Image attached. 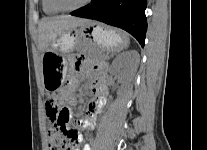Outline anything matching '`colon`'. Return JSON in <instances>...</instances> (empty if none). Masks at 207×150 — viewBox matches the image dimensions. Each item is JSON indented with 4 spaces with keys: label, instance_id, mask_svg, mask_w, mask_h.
Masks as SVG:
<instances>
[{
    "label": "colon",
    "instance_id": "obj_1",
    "mask_svg": "<svg viewBox=\"0 0 207 150\" xmlns=\"http://www.w3.org/2000/svg\"><path fill=\"white\" fill-rule=\"evenodd\" d=\"M49 118L47 137L50 150H76L77 132L68 128L70 113L60 105V97L54 96L46 102Z\"/></svg>",
    "mask_w": 207,
    "mask_h": 150
}]
</instances>
